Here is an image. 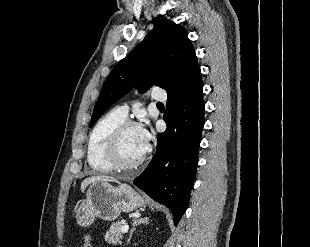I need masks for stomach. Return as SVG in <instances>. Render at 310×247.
Returning <instances> with one entry per match:
<instances>
[{"mask_svg": "<svg viewBox=\"0 0 310 247\" xmlns=\"http://www.w3.org/2000/svg\"><path fill=\"white\" fill-rule=\"evenodd\" d=\"M144 198L131 186L114 187L108 182L97 181L88 187L85 199L74 208L73 215L79 226H90L95 218L114 221L121 212H131L145 207Z\"/></svg>", "mask_w": 310, "mask_h": 247, "instance_id": "0dacf381", "label": "stomach"}]
</instances>
